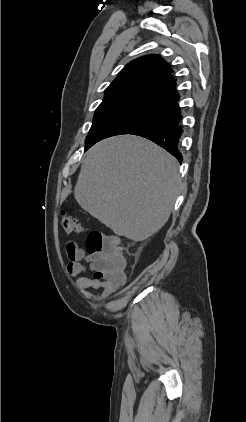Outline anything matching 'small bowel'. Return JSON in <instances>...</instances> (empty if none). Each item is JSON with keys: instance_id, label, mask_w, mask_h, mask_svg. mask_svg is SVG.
Here are the masks:
<instances>
[{"instance_id": "small-bowel-1", "label": "small bowel", "mask_w": 246, "mask_h": 422, "mask_svg": "<svg viewBox=\"0 0 246 422\" xmlns=\"http://www.w3.org/2000/svg\"><path fill=\"white\" fill-rule=\"evenodd\" d=\"M66 250L69 259L67 271L71 276L77 277V285L82 289H102L100 294L95 295V298L104 299L109 297L125 282L124 274L114 279L98 277L97 271L100 268L98 256L86 253L76 243L69 242ZM85 263L88 264V267ZM87 268L94 272L92 277L85 275Z\"/></svg>"}]
</instances>
